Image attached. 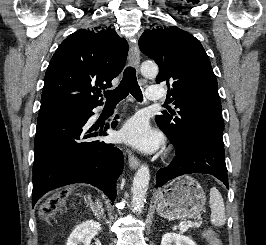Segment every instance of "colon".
Wrapping results in <instances>:
<instances>
[{
    "mask_svg": "<svg viewBox=\"0 0 266 245\" xmlns=\"http://www.w3.org/2000/svg\"><path fill=\"white\" fill-rule=\"evenodd\" d=\"M64 197L60 194L56 197H51L47 199L40 210L41 215L45 218H49L54 215V213L63 205ZM204 235L209 243V245H222L220 238L211 230H205Z\"/></svg>",
    "mask_w": 266,
    "mask_h": 245,
    "instance_id": "5ec220e1",
    "label": "colon"
}]
</instances>
